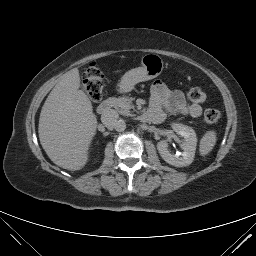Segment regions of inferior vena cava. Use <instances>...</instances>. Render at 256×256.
Wrapping results in <instances>:
<instances>
[{"label":"inferior vena cava","instance_id":"602c4592","mask_svg":"<svg viewBox=\"0 0 256 256\" xmlns=\"http://www.w3.org/2000/svg\"><path fill=\"white\" fill-rule=\"evenodd\" d=\"M118 118V113L113 109H109L101 115L102 123L109 129L116 128V125L119 121Z\"/></svg>","mask_w":256,"mask_h":256}]
</instances>
